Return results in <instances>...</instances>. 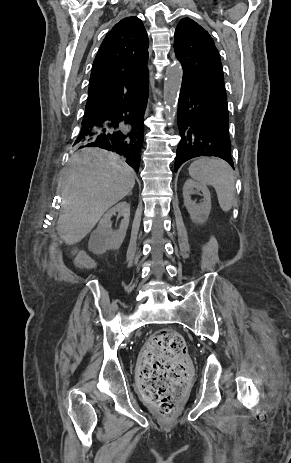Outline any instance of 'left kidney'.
<instances>
[{"instance_id":"left-kidney-1","label":"left kidney","mask_w":291,"mask_h":463,"mask_svg":"<svg viewBox=\"0 0 291 463\" xmlns=\"http://www.w3.org/2000/svg\"><path fill=\"white\" fill-rule=\"evenodd\" d=\"M200 191L203 194V201L197 204L191 199V195ZM183 198L191 220L197 224L205 223L211 210V194L209 189L204 184L188 179L183 186Z\"/></svg>"}]
</instances>
